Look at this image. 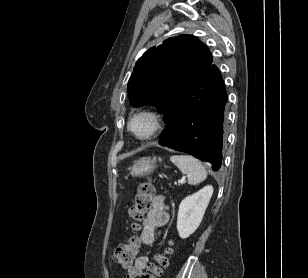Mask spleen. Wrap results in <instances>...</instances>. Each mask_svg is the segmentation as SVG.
<instances>
[{"instance_id":"spleen-1","label":"spleen","mask_w":308,"mask_h":278,"mask_svg":"<svg viewBox=\"0 0 308 278\" xmlns=\"http://www.w3.org/2000/svg\"><path fill=\"white\" fill-rule=\"evenodd\" d=\"M179 170L187 175L188 183L196 185L204 181L207 177V172L202 163L190 155H174L170 158Z\"/></svg>"}]
</instances>
